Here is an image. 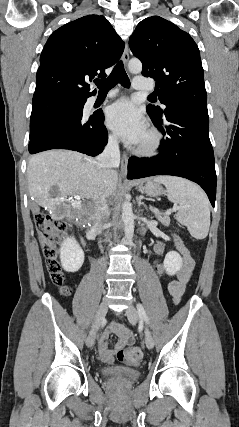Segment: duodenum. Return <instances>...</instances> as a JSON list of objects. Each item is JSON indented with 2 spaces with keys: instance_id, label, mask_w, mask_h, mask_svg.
<instances>
[{
  "instance_id": "duodenum-1",
  "label": "duodenum",
  "mask_w": 239,
  "mask_h": 427,
  "mask_svg": "<svg viewBox=\"0 0 239 427\" xmlns=\"http://www.w3.org/2000/svg\"><path fill=\"white\" fill-rule=\"evenodd\" d=\"M82 243H83V245H84L87 249H89L88 243H87V241L84 239V237H82Z\"/></svg>"
}]
</instances>
